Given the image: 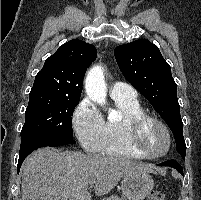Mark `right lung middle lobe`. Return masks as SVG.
<instances>
[{
    "label": "right lung middle lobe",
    "mask_w": 201,
    "mask_h": 200,
    "mask_svg": "<svg viewBox=\"0 0 201 200\" xmlns=\"http://www.w3.org/2000/svg\"><path fill=\"white\" fill-rule=\"evenodd\" d=\"M79 100L46 93H30L21 135L45 132L72 139V116Z\"/></svg>",
    "instance_id": "right-lung-middle-lobe-1"
}]
</instances>
